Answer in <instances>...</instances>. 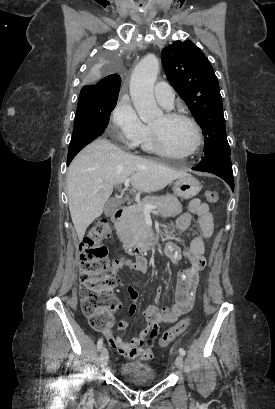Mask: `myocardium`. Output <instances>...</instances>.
Here are the masks:
<instances>
[{
    "label": "myocardium",
    "mask_w": 275,
    "mask_h": 409,
    "mask_svg": "<svg viewBox=\"0 0 275 409\" xmlns=\"http://www.w3.org/2000/svg\"><path fill=\"white\" fill-rule=\"evenodd\" d=\"M163 117L167 123H170L176 120H183L189 123L194 130L195 140H194L193 146L188 152L177 153L169 148V146L167 145L165 141L162 131L155 129L153 127H150L152 142H153L155 149L159 153L169 156V157H191L193 156L198 151L199 147L202 144V133H201V129L198 123L190 116L183 114V113H179V112H167L163 114Z\"/></svg>",
    "instance_id": "f54148a6"
}]
</instances>
